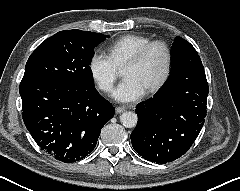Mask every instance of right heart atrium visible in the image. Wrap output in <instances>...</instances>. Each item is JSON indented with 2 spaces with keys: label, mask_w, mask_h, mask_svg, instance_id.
<instances>
[{
  "label": "right heart atrium",
  "mask_w": 240,
  "mask_h": 191,
  "mask_svg": "<svg viewBox=\"0 0 240 191\" xmlns=\"http://www.w3.org/2000/svg\"><path fill=\"white\" fill-rule=\"evenodd\" d=\"M89 72L97 86L106 93L112 91L118 76V68L103 53H94L89 60Z\"/></svg>",
  "instance_id": "obj_1"
}]
</instances>
